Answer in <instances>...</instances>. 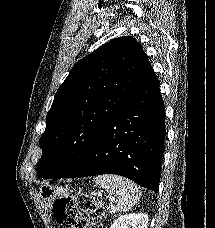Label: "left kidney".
Listing matches in <instances>:
<instances>
[{
	"label": "left kidney",
	"instance_id": "1",
	"mask_svg": "<svg viewBox=\"0 0 215 228\" xmlns=\"http://www.w3.org/2000/svg\"><path fill=\"white\" fill-rule=\"evenodd\" d=\"M147 226V214H127L117 218L111 228H147Z\"/></svg>",
	"mask_w": 215,
	"mask_h": 228
}]
</instances>
